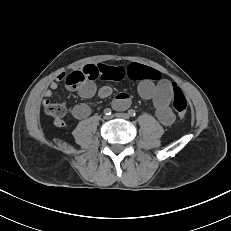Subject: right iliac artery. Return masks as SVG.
<instances>
[{
	"mask_svg": "<svg viewBox=\"0 0 231 231\" xmlns=\"http://www.w3.org/2000/svg\"><path fill=\"white\" fill-rule=\"evenodd\" d=\"M104 114H105V115H110V114H111V109H110V108H106V109L104 110Z\"/></svg>",
	"mask_w": 231,
	"mask_h": 231,
	"instance_id": "right-iliac-artery-1",
	"label": "right iliac artery"
}]
</instances>
